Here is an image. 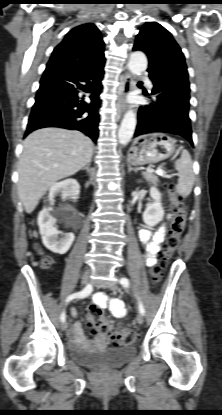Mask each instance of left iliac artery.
I'll return each instance as SVG.
<instances>
[{"mask_svg": "<svg viewBox=\"0 0 222 415\" xmlns=\"http://www.w3.org/2000/svg\"><path fill=\"white\" fill-rule=\"evenodd\" d=\"M120 283L123 287L129 288L130 283H129V280L127 278H121ZM138 306H139V312L142 315H144L145 314V308H144L143 304L140 301H139Z\"/></svg>", "mask_w": 222, "mask_h": 415, "instance_id": "44dca946", "label": "left iliac artery"}]
</instances>
